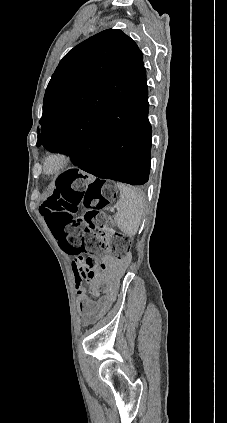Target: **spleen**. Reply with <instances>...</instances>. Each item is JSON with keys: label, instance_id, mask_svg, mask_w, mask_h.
<instances>
[{"label": "spleen", "instance_id": "1", "mask_svg": "<svg viewBox=\"0 0 227 423\" xmlns=\"http://www.w3.org/2000/svg\"><path fill=\"white\" fill-rule=\"evenodd\" d=\"M117 186L120 190V198L115 206L117 211L114 219L123 233L135 235L144 213L142 194L135 188H129L123 184H117Z\"/></svg>", "mask_w": 227, "mask_h": 423}]
</instances>
